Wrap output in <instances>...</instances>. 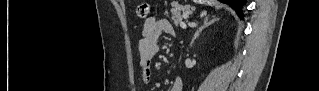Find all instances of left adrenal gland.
Here are the masks:
<instances>
[{"instance_id":"obj_1","label":"left adrenal gland","mask_w":319,"mask_h":91,"mask_svg":"<svg viewBox=\"0 0 319 91\" xmlns=\"http://www.w3.org/2000/svg\"><path fill=\"white\" fill-rule=\"evenodd\" d=\"M208 18H209L208 16L205 17L203 25H202L201 27H199V28L197 29V31L195 32V34H194V36H193V38H192V40H191L190 46H192L194 40L201 34V32H202L205 28L209 27V26L212 25L215 21L218 20V18H214V19H212V20L209 21Z\"/></svg>"}]
</instances>
